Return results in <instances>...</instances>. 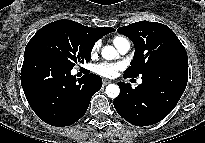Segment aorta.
<instances>
[{"label": "aorta", "mask_w": 205, "mask_h": 143, "mask_svg": "<svg viewBox=\"0 0 205 143\" xmlns=\"http://www.w3.org/2000/svg\"><path fill=\"white\" fill-rule=\"evenodd\" d=\"M101 55L106 60H112L116 58L117 52L113 46L108 45L102 48ZM119 93L120 89L116 84H109L106 87V94L109 98L114 99L118 97Z\"/></svg>", "instance_id": "aorta-1"}]
</instances>
